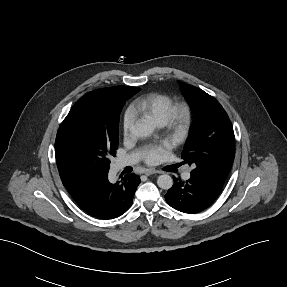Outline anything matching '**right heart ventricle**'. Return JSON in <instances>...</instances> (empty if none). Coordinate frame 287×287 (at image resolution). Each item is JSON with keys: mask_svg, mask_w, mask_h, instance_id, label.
I'll return each mask as SVG.
<instances>
[{"mask_svg": "<svg viewBox=\"0 0 287 287\" xmlns=\"http://www.w3.org/2000/svg\"><path fill=\"white\" fill-rule=\"evenodd\" d=\"M173 99L165 94L149 93L138 98L132 105L134 114L148 118L157 126H164L168 120Z\"/></svg>", "mask_w": 287, "mask_h": 287, "instance_id": "1", "label": "right heart ventricle"}]
</instances>
